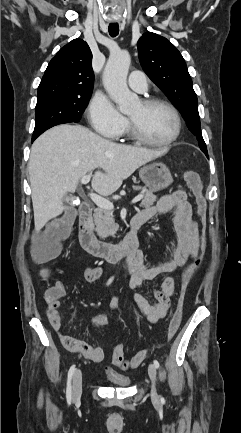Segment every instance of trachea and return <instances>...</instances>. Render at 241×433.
I'll return each instance as SVG.
<instances>
[{
    "instance_id": "trachea-1",
    "label": "trachea",
    "mask_w": 241,
    "mask_h": 433,
    "mask_svg": "<svg viewBox=\"0 0 241 433\" xmlns=\"http://www.w3.org/2000/svg\"><path fill=\"white\" fill-rule=\"evenodd\" d=\"M108 29H109V34L111 37H116L119 34L118 23H110Z\"/></svg>"
}]
</instances>
